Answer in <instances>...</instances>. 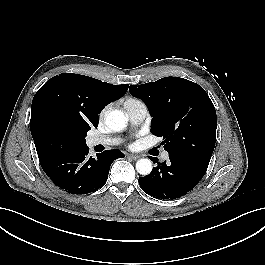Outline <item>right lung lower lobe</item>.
Wrapping results in <instances>:
<instances>
[{
  "label": "right lung lower lobe",
  "mask_w": 265,
  "mask_h": 265,
  "mask_svg": "<svg viewBox=\"0 0 265 265\" xmlns=\"http://www.w3.org/2000/svg\"><path fill=\"white\" fill-rule=\"evenodd\" d=\"M87 146L56 155L40 164L47 176L61 189L73 194L94 192L107 181L113 161L125 155L119 150H106L96 158L88 155Z\"/></svg>",
  "instance_id": "1"
}]
</instances>
